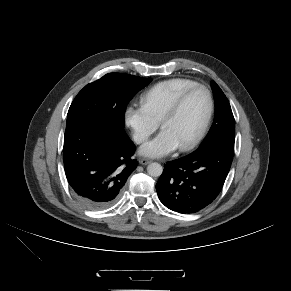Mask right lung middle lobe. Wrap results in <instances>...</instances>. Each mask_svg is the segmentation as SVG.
<instances>
[{
    "instance_id": "obj_1",
    "label": "right lung middle lobe",
    "mask_w": 291,
    "mask_h": 291,
    "mask_svg": "<svg viewBox=\"0 0 291 291\" xmlns=\"http://www.w3.org/2000/svg\"><path fill=\"white\" fill-rule=\"evenodd\" d=\"M151 78L109 73L85 86L73 100L66 128L79 124H106L124 128L125 109L134 94Z\"/></svg>"
}]
</instances>
